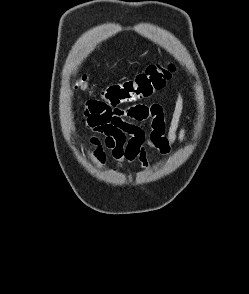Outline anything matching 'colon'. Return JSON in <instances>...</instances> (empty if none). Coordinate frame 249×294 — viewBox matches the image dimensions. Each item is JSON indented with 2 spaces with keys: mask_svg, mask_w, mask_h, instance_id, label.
<instances>
[{
  "mask_svg": "<svg viewBox=\"0 0 249 294\" xmlns=\"http://www.w3.org/2000/svg\"><path fill=\"white\" fill-rule=\"evenodd\" d=\"M174 69L175 67L171 63L151 64L133 79L108 86L99 95H93L88 102L118 106L149 98L155 91L163 88ZM76 86L80 90L88 92L87 79L84 74L77 75Z\"/></svg>",
  "mask_w": 249,
  "mask_h": 294,
  "instance_id": "obj_1",
  "label": "colon"
}]
</instances>
